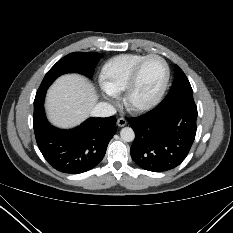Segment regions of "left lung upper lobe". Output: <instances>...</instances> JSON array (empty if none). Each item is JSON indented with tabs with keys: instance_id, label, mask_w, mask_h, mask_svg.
Returning a JSON list of instances; mask_svg holds the SVG:
<instances>
[{
	"instance_id": "left-lung-upper-lobe-1",
	"label": "left lung upper lobe",
	"mask_w": 233,
	"mask_h": 233,
	"mask_svg": "<svg viewBox=\"0 0 233 233\" xmlns=\"http://www.w3.org/2000/svg\"><path fill=\"white\" fill-rule=\"evenodd\" d=\"M179 101L194 102V99L193 90L186 75L179 68V66L175 65V79L173 85L168 95L159 105L163 106Z\"/></svg>"
}]
</instances>
